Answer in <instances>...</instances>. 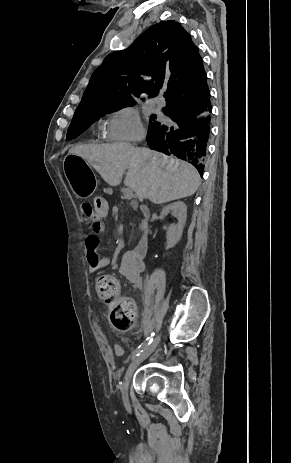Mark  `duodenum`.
Wrapping results in <instances>:
<instances>
[{
	"mask_svg": "<svg viewBox=\"0 0 291 463\" xmlns=\"http://www.w3.org/2000/svg\"><path fill=\"white\" fill-rule=\"evenodd\" d=\"M139 210L144 214L146 218H149L150 213L148 211V205L146 203H141L139 205ZM148 246L149 240L148 236L146 235L138 241L134 250L139 256L145 257L148 251Z\"/></svg>",
	"mask_w": 291,
	"mask_h": 463,
	"instance_id": "1",
	"label": "duodenum"
}]
</instances>
